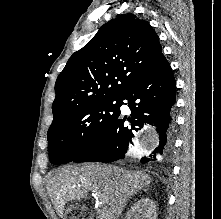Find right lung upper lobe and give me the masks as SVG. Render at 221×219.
<instances>
[{"label": "right lung upper lobe", "instance_id": "cb5924a9", "mask_svg": "<svg viewBox=\"0 0 221 219\" xmlns=\"http://www.w3.org/2000/svg\"><path fill=\"white\" fill-rule=\"evenodd\" d=\"M163 56L151 25L134 14H121L68 60L55 84L53 122L99 100L120 99Z\"/></svg>", "mask_w": 221, "mask_h": 219}]
</instances>
